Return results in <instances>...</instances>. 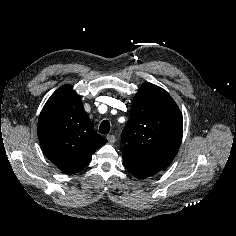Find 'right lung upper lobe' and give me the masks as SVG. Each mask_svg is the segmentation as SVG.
Segmentation results:
<instances>
[{
	"label": "right lung upper lobe",
	"mask_w": 236,
	"mask_h": 236,
	"mask_svg": "<svg viewBox=\"0 0 236 236\" xmlns=\"http://www.w3.org/2000/svg\"><path fill=\"white\" fill-rule=\"evenodd\" d=\"M37 129L47 158L67 174L81 171L107 142L94 130L80 97L70 85L61 86L50 96Z\"/></svg>",
	"instance_id": "right-lung-upper-lobe-1"
}]
</instances>
